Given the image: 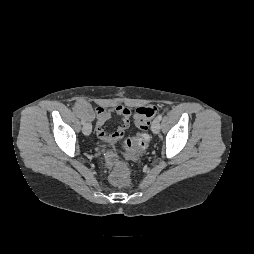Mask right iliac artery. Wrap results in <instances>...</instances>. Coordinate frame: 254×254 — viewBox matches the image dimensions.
Segmentation results:
<instances>
[{"label": "right iliac artery", "mask_w": 254, "mask_h": 254, "mask_svg": "<svg viewBox=\"0 0 254 254\" xmlns=\"http://www.w3.org/2000/svg\"><path fill=\"white\" fill-rule=\"evenodd\" d=\"M81 122L83 125L86 123V121L84 119H82Z\"/></svg>", "instance_id": "right-iliac-artery-1"}]
</instances>
